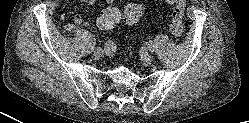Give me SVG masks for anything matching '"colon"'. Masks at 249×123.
I'll return each mask as SVG.
<instances>
[{
    "instance_id": "5ec220e1",
    "label": "colon",
    "mask_w": 249,
    "mask_h": 123,
    "mask_svg": "<svg viewBox=\"0 0 249 123\" xmlns=\"http://www.w3.org/2000/svg\"><path fill=\"white\" fill-rule=\"evenodd\" d=\"M173 6L170 31L176 37L183 35V18L186 0H169ZM146 13L145 7L139 3H129L124 6L122 13L114 5H108L98 18V25L103 29H112L121 18L127 24H135Z\"/></svg>"
}]
</instances>
